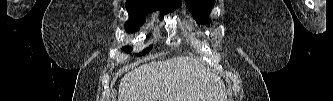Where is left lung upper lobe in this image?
I'll use <instances>...</instances> for the list:
<instances>
[{
    "mask_svg": "<svg viewBox=\"0 0 333 101\" xmlns=\"http://www.w3.org/2000/svg\"><path fill=\"white\" fill-rule=\"evenodd\" d=\"M215 0H185V4L192 12L193 18L200 24L208 23V18Z\"/></svg>",
    "mask_w": 333,
    "mask_h": 101,
    "instance_id": "1",
    "label": "left lung upper lobe"
}]
</instances>
